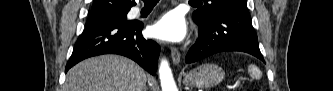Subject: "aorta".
<instances>
[{"instance_id": "1", "label": "aorta", "mask_w": 333, "mask_h": 91, "mask_svg": "<svg viewBox=\"0 0 333 91\" xmlns=\"http://www.w3.org/2000/svg\"><path fill=\"white\" fill-rule=\"evenodd\" d=\"M159 76L161 82L162 91H177L172 71L166 60H162L159 68Z\"/></svg>"}]
</instances>
